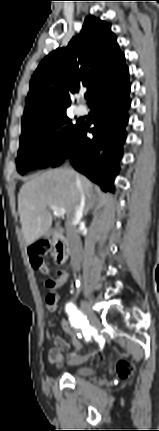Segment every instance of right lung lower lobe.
<instances>
[{
  "instance_id": "obj_1",
  "label": "right lung lower lobe",
  "mask_w": 159,
  "mask_h": 431,
  "mask_svg": "<svg viewBox=\"0 0 159 431\" xmlns=\"http://www.w3.org/2000/svg\"><path fill=\"white\" fill-rule=\"evenodd\" d=\"M129 75L101 91L90 104L95 116L94 127L80 122L49 166L57 167L65 159L72 166L104 190H113V180L118 172L117 159L122 157V146L126 139L127 110L130 107ZM87 132L93 138L86 136Z\"/></svg>"
}]
</instances>
